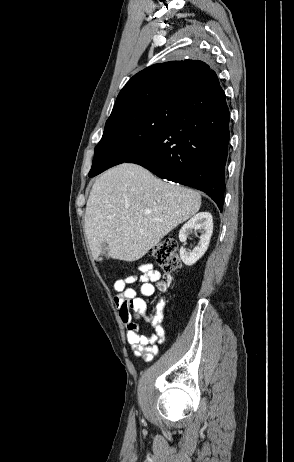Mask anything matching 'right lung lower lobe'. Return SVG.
<instances>
[{
    "label": "right lung lower lobe",
    "mask_w": 294,
    "mask_h": 462,
    "mask_svg": "<svg viewBox=\"0 0 294 462\" xmlns=\"http://www.w3.org/2000/svg\"><path fill=\"white\" fill-rule=\"evenodd\" d=\"M185 98V105L175 118L125 162L204 191L222 211L230 137L225 93L218 80L208 89ZM91 171L89 177L97 175Z\"/></svg>",
    "instance_id": "98d812e1"
}]
</instances>
